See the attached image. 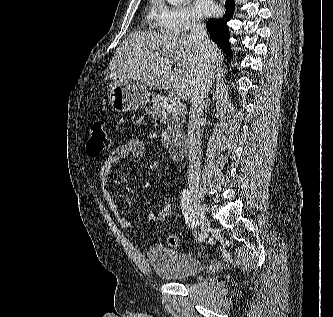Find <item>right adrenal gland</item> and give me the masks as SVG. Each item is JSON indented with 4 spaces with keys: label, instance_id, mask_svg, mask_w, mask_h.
I'll list each match as a JSON object with an SVG mask.
<instances>
[{
    "label": "right adrenal gland",
    "instance_id": "2a0ac1e0",
    "mask_svg": "<svg viewBox=\"0 0 333 317\" xmlns=\"http://www.w3.org/2000/svg\"><path fill=\"white\" fill-rule=\"evenodd\" d=\"M209 101H210L209 98H207V104L206 105H208Z\"/></svg>",
    "mask_w": 333,
    "mask_h": 317
}]
</instances>
